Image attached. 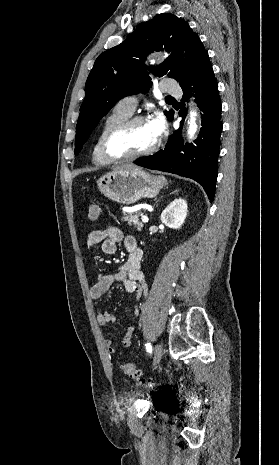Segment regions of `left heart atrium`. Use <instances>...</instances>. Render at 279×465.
Masks as SVG:
<instances>
[{
	"label": "left heart atrium",
	"instance_id": "39dd6f15",
	"mask_svg": "<svg viewBox=\"0 0 279 465\" xmlns=\"http://www.w3.org/2000/svg\"><path fill=\"white\" fill-rule=\"evenodd\" d=\"M149 124L156 137L160 136L165 129L164 119L160 115L156 116L153 120H151Z\"/></svg>",
	"mask_w": 279,
	"mask_h": 465
}]
</instances>
